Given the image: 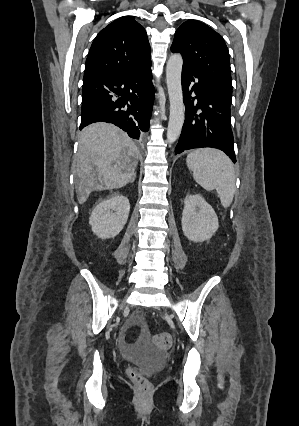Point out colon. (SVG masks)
<instances>
[{
  "label": "colon",
  "mask_w": 299,
  "mask_h": 426,
  "mask_svg": "<svg viewBox=\"0 0 299 426\" xmlns=\"http://www.w3.org/2000/svg\"><path fill=\"white\" fill-rule=\"evenodd\" d=\"M153 342L157 348L165 350L171 347L172 337L169 333H159L154 336ZM127 373L139 395L145 396L151 392L152 385L148 380L147 373L135 367L129 368Z\"/></svg>",
  "instance_id": "1"
}]
</instances>
